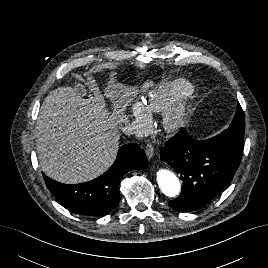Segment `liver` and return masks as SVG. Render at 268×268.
Wrapping results in <instances>:
<instances>
[{"instance_id":"liver-1","label":"liver","mask_w":268,"mask_h":268,"mask_svg":"<svg viewBox=\"0 0 268 268\" xmlns=\"http://www.w3.org/2000/svg\"><path fill=\"white\" fill-rule=\"evenodd\" d=\"M81 89L77 85L51 91L36 122L41 169L66 184L92 180L112 165L119 148L118 125L127 122L125 108L137 93L134 87L112 80L105 89L114 103L111 114L101 99L83 98L85 90Z\"/></svg>"}]
</instances>
